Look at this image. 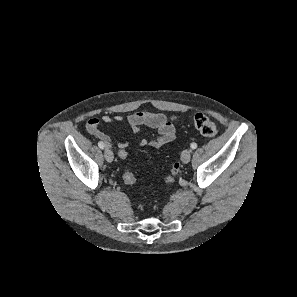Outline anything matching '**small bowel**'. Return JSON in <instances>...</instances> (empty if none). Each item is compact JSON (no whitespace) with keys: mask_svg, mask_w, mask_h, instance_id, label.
Returning <instances> with one entry per match:
<instances>
[{"mask_svg":"<svg viewBox=\"0 0 297 297\" xmlns=\"http://www.w3.org/2000/svg\"><path fill=\"white\" fill-rule=\"evenodd\" d=\"M124 118L121 115L111 116L109 114H104L101 117V121L104 123L112 122H122ZM131 130L134 133L140 131L141 127L146 126L152 128L156 131L157 136L148 141L147 139H141L139 145L141 147L150 146L152 148L158 149L165 144H169L176 138L175 127L170 122L168 116L163 113H154L148 111H138L130 114L126 118ZM100 120L96 117L90 118L86 123L87 132L93 137L99 139L101 142L105 143L110 147L111 138L99 129ZM119 151L126 150L128 147L127 141H121L118 143Z\"/></svg>","mask_w":297,"mask_h":297,"instance_id":"c3829d8e","label":"small bowel"}]
</instances>
